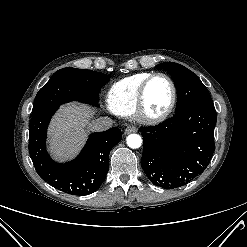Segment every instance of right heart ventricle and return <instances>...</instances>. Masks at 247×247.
Returning <instances> with one entry per match:
<instances>
[{
    "label": "right heart ventricle",
    "mask_w": 247,
    "mask_h": 247,
    "mask_svg": "<svg viewBox=\"0 0 247 247\" xmlns=\"http://www.w3.org/2000/svg\"><path fill=\"white\" fill-rule=\"evenodd\" d=\"M151 74L150 72H140L115 82L107 95L109 108L118 115H131L135 110L139 89Z\"/></svg>",
    "instance_id": "right-heart-ventricle-1"
}]
</instances>
